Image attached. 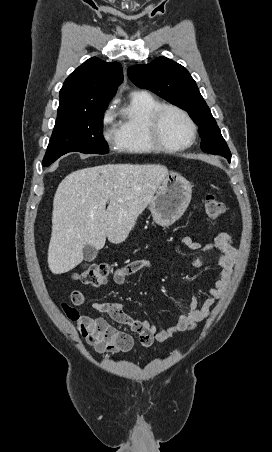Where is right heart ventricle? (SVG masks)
I'll use <instances>...</instances> for the list:
<instances>
[{
	"label": "right heart ventricle",
	"mask_w": 272,
	"mask_h": 452,
	"mask_svg": "<svg viewBox=\"0 0 272 452\" xmlns=\"http://www.w3.org/2000/svg\"><path fill=\"white\" fill-rule=\"evenodd\" d=\"M161 104L148 92L132 94L128 106L122 111L117 130L121 150L136 154H147L158 150L149 137L148 122L152 113Z\"/></svg>",
	"instance_id": "right-heart-ventricle-1"
}]
</instances>
